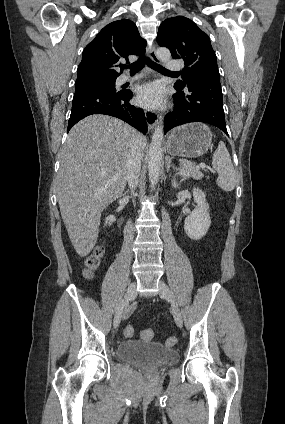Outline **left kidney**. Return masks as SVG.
<instances>
[{
    "instance_id": "5707ae66",
    "label": "left kidney",
    "mask_w": 285,
    "mask_h": 424,
    "mask_svg": "<svg viewBox=\"0 0 285 424\" xmlns=\"http://www.w3.org/2000/svg\"><path fill=\"white\" fill-rule=\"evenodd\" d=\"M174 188L178 187L176 180L172 181ZM193 198L197 206L186 217L184 222V230L187 236L193 240H200L209 230L211 219L209 214V205L206 202L205 193L199 188H193Z\"/></svg>"
}]
</instances>
